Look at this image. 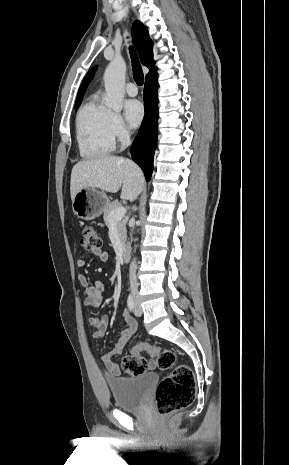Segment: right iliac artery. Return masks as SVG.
I'll use <instances>...</instances> for the list:
<instances>
[{
	"label": "right iliac artery",
	"instance_id": "1",
	"mask_svg": "<svg viewBox=\"0 0 289 465\" xmlns=\"http://www.w3.org/2000/svg\"><path fill=\"white\" fill-rule=\"evenodd\" d=\"M127 306H128V309L130 310V312H132L134 310V298H133L132 295L128 296Z\"/></svg>",
	"mask_w": 289,
	"mask_h": 465
}]
</instances>
